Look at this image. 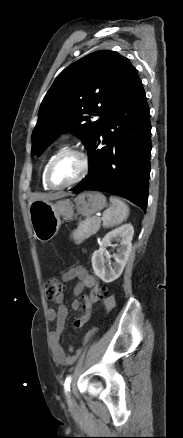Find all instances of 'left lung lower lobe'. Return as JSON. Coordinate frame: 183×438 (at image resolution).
Here are the masks:
<instances>
[{
	"label": "left lung lower lobe",
	"mask_w": 183,
	"mask_h": 438,
	"mask_svg": "<svg viewBox=\"0 0 183 438\" xmlns=\"http://www.w3.org/2000/svg\"><path fill=\"white\" fill-rule=\"evenodd\" d=\"M139 77L104 118L89 147V174L71 191L97 190L146 210L150 176L151 124ZM103 137L105 147L97 149Z\"/></svg>",
	"instance_id": "obj_1"
}]
</instances>
